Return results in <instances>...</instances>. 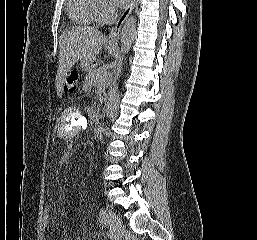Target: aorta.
Masks as SVG:
<instances>
[{
  "label": "aorta",
  "mask_w": 257,
  "mask_h": 240,
  "mask_svg": "<svg viewBox=\"0 0 257 240\" xmlns=\"http://www.w3.org/2000/svg\"><path fill=\"white\" fill-rule=\"evenodd\" d=\"M135 32H136V18L134 16H130L125 20V23L121 31V52H122L121 59H123L124 55H126L129 52L135 36ZM117 91H118V87L116 84L113 86V88L109 93V101L106 104L107 112L112 107Z\"/></svg>",
  "instance_id": "aorta-1"
}]
</instances>
